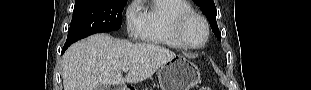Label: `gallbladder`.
I'll return each instance as SVG.
<instances>
[{
  "label": "gallbladder",
  "mask_w": 311,
  "mask_h": 90,
  "mask_svg": "<svg viewBox=\"0 0 311 90\" xmlns=\"http://www.w3.org/2000/svg\"><path fill=\"white\" fill-rule=\"evenodd\" d=\"M97 90H109L108 85L100 84L97 88Z\"/></svg>",
  "instance_id": "gallbladder-1"
}]
</instances>
